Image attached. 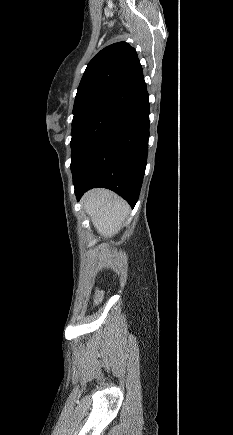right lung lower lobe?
Here are the masks:
<instances>
[{
	"mask_svg": "<svg viewBox=\"0 0 233 435\" xmlns=\"http://www.w3.org/2000/svg\"><path fill=\"white\" fill-rule=\"evenodd\" d=\"M148 138L147 94L123 114L72 171L77 199L91 188L104 187L134 207L147 164Z\"/></svg>",
	"mask_w": 233,
	"mask_h": 435,
	"instance_id": "obj_1",
	"label": "right lung lower lobe"
}]
</instances>
